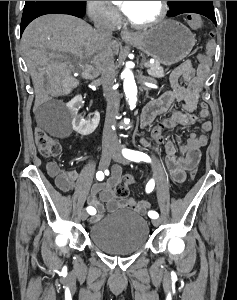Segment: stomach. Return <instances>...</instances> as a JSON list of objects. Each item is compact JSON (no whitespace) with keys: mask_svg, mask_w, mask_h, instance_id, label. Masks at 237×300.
Here are the masks:
<instances>
[{"mask_svg":"<svg viewBox=\"0 0 237 300\" xmlns=\"http://www.w3.org/2000/svg\"><path fill=\"white\" fill-rule=\"evenodd\" d=\"M134 35L135 39L130 41V45L137 47L162 65H174L182 61L196 43L195 35L190 29L172 19L155 23Z\"/></svg>","mask_w":237,"mask_h":300,"instance_id":"0dacf381","label":"stomach"}]
</instances>
